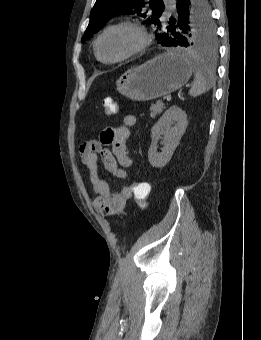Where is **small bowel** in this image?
I'll return each instance as SVG.
<instances>
[{
  "label": "small bowel",
  "mask_w": 261,
  "mask_h": 340,
  "mask_svg": "<svg viewBox=\"0 0 261 340\" xmlns=\"http://www.w3.org/2000/svg\"><path fill=\"white\" fill-rule=\"evenodd\" d=\"M135 124L136 117L126 115L121 125L104 129L98 140L86 141L79 149L81 161L89 172L90 183L96 194L94 208L105 216L119 215L124 211L127 202L132 198V188L125 185L119 191H113L99 174L98 160L115 177L129 179L127 169L132 166V160L128 155L126 140L129 129Z\"/></svg>",
  "instance_id": "small-bowel-1"
}]
</instances>
